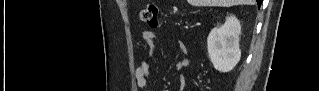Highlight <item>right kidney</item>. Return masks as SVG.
Instances as JSON below:
<instances>
[{
	"instance_id": "1",
	"label": "right kidney",
	"mask_w": 319,
	"mask_h": 91,
	"mask_svg": "<svg viewBox=\"0 0 319 91\" xmlns=\"http://www.w3.org/2000/svg\"><path fill=\"white\" fill-rule=\"evenodd\" d=\"M240 22L235 16H228L225 23L214 28L207 39L209 58L214 68L220 72L231 71L239 62Z\"/></svg>"
}]
</instances>
